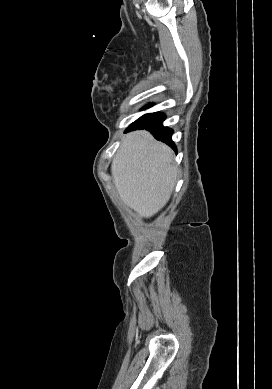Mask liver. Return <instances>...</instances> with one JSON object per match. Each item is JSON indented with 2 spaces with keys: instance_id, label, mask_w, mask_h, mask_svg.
I'll return each instance as SVG.
<instances>
[{
  "instance_id": "obj_1",
  "label": "liver",
  "mask_w": 272,
  "mask_h": 389,
  "mask_svg": "<svg viewBox=\"0 0 272 389\" xmlns=\"http://www.w3.org/2000/svg\"><path fill=\"white\" fill-rule=\"evenodd\" d=\"M173 151L147 131L127 134L111 166L121 200L139 216L150 218L168 202L177 177Z\"/></svg>"
}]
</instances>
